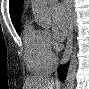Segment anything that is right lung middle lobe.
I'll return each instance as SVG.
<instances>
[{"label":"right lung middle lobe","mask_w":89,"mask_h":89,"mask_svg":"<svg viewBox=\"0 0 89 89\" xmlns=\"http://www.w3.org/2000/svg\"><path fill=\"white\" fill-rule=\"evenodd\" d=\"M20 32H21V30H20V29H18V30H17V33H18L19 35H20Z\"/></svg>","instance_id":"right-lung-middle-lobe-1"}]
</instances>
